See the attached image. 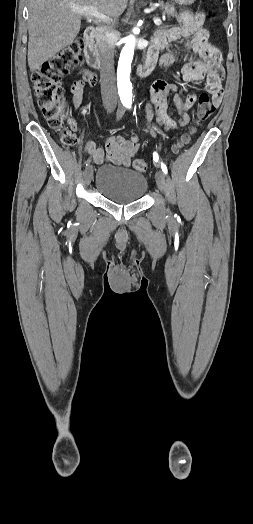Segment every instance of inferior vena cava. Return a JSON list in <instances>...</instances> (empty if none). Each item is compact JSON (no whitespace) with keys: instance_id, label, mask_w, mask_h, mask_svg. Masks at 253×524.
<instances>
[{"instance_id":"1","label":"inferior vena cava","mask_w":253,"mask_h":524,"mask_svg":"<svg viewBox=\"0 0 253 524\" xmlns=\"http://www.w3.org/2000/svg\"><path fill=\"white\" fill-rule=\"evenodd\" d=\"M97 41L101 53L100 83L102 99L105 106L117 105L116 79L114 69V39L106 28L97 29Z\"/></svg>"}]
</instances>
